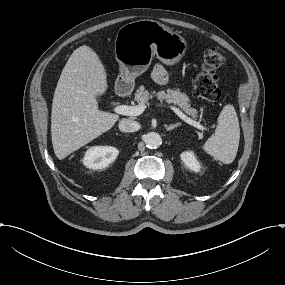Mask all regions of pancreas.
Wrapping results in <instances>:
<instances>
[{"label": "pancreas", "mask_w": 285, "mask_h": 285, "mask_svg": "<svg viewBox=\"0 0 285 285\" xmlns=\"http://www.w3.org/2000/svg\"><path fill=\"white\" fill-rule=\"evenodd\" d=\"M153 97H156L159 101H165L168 104H175L176 106L180 107L181 110L185 111L188 115L192 117L196 115V110L190 108V104L188 103V97L185 94L180 93L179 88H168L166 89V91H147L145 86L142 85L139 87L137 93L135 94V100L141 105L147 104L149 100L153 99ZM150 103L154 104L155 101L152 100Z\"/></svg>", "instance_id": "cf45deb5"}]
</instances>
